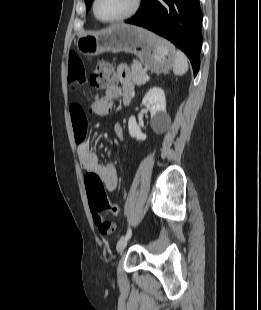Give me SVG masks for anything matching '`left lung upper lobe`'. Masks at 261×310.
<instances>
[{"instance_id":"obj_1","label":"left lung upper lobe","mask_w":261,"mask_h":310,"mask_svg":"<svg viewBox=\"0 0 261 310\" xmlns=\"http://www.w3.org/2000/svg\"><path fill=\"white\" fill-rule=\"evenodd\" d=\"M85 3H86V10L88 11L90 9L92 0H85Z\"/></svg>"}]
</instances>
